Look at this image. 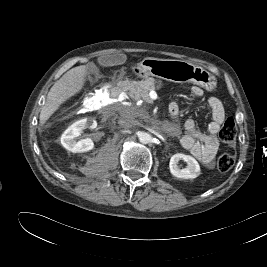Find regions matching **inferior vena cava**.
<instances>
[{
    "instance_id": "obj_1",
    "label": "inferior vena cava",
    "mask_w": 267,
    "mask_h": 267,
    "mask_svg": "<svg viewBox=\"0 0 267 267\" xmlns=\"http://www.w3.org/2000/svg\"><path fill=\"white\" fill-rule=\"evenodd\" d=\"M118 123L124 128H131L138 124V121L134 118V113L130 108H124L121 110V117Z\"/></svg>"
}]
</instances>
